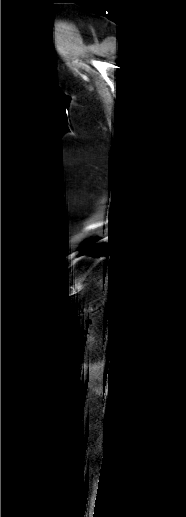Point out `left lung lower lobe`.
Returning a JSON list of instances; mask_svg holds the SVG:
<instances>
[{"mask_svg": "<svg viewBox=\"0 0 186 517\" xmlns=\"http://www.w3.org/2000/svg\"><path fill=\"white\" fill-rule=\"evenodd\" d=\"M90 244H93V242H91ZM113 250H115V247L113 245L102 243L100 245H93L89 248H86L84 254H91L94 256L109 255L114 253Z\"/></svg>", "mask_w": 186, "mask_h": 517, "instance_id": "obj_1", "label": "left lung lower lobe"}]
</instances>
